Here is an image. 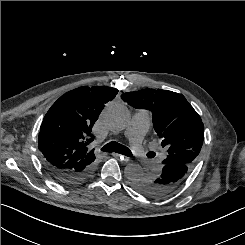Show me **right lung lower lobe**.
Returning <instances> with one entry per match:
<instances>
[{
    "label": "right lung lower lobe",
    "mask_w": 245,
    "mask_h": 245,
    "mask_svg": "<svg viewBox=\"0 0 245 245\" xmlns=\"http://www.w3.org/2000/svg\"><path fill=\"white\" fill-rule=\"evenodd\" d=\"M43 165L47 172L58 182L71 186L84 182L87 180L94 172L95 165L94 163L87 166L86 168L78 171L62 170L56 167H53L45 162Z\"/></svg>",
    "instance_id": "1"
}]
</instances>
